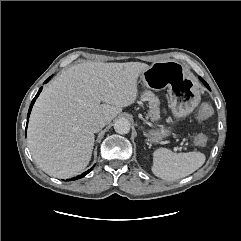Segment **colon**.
<instances>
[{
  "mask_svg": "<svg viewBox=\"0 0 241 241\" xmlns=\"http://www.w3.org/2000/svg\"><path fill=\"white\" fill-rule=\"evenodd\" d=\"M213 114V109L210 105L208 104H203L200 106V108L197 111V118L199 120H206L208 118H210ZM207 143V137L203 134H199L198 136H196L195 138V144L198 146H205Z\"/></svg>",
  "mask_w": 241,
  "mask_h": 241,
  "instance_id": "5ec220e1",
  "label": "colon"
}]
</instances>
